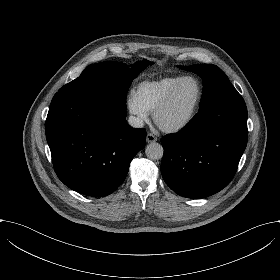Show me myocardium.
<instances>
[{
  "mask_svg": "<svg viewBox=\"0 0 280 280\" xmlns=\"http://www.w3.org/2000/svg\"><path fill=\"white\" fill-rule=\"evenodd\" d=\"M190 79L196 80L200 87V94H199V98H198L195 108L187 117H185L182 120L175 121V122L168 123V124L164 123L162 121L163 114L171 106L174 96L179 91V89L182 87L183 83ZM204 96H205V86H204L203 82L194 75L184 76L180 80V82L173 89H171V91L166 96L165 100L154 111L155 122L157 123V125L159 126L160 129H162L163 131H165L167 133H176V132L183 130L184 128L189 126L193 122L195 117L197 116V114L202 106Z\"/></svg>",
  "mask_w": 280,
  "mask_h": 280,
  "instance_id": "obj_1",
  "label": "myocardium"
}]
</instances>
